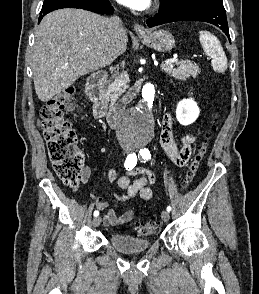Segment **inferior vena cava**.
<instances>
[{"instance_id":"obj_1","label":"inferior vena cava","mask_w":259,"mask_h":294,"mask_svg":"<svg viewBox=\"0 0 259 294\" xmlns=\"http://www.w3.org/2000/svg\"><path fill=\"white\" fill-rule=\"evenodd\" d=\"M108 27L112 34L113 48L118 45V39L120 34L123 32L122 20L118 16H113L108 19ZM126 105L123 104L119 107V116L122 117L125 114Z\"/></svg>"}]
</instances>
